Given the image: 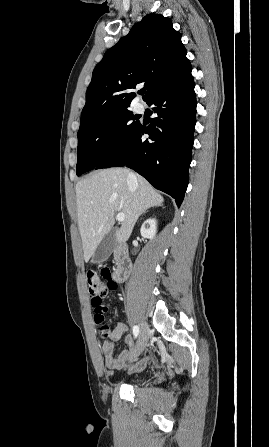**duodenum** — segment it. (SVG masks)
<instances>
[{
  "mask_svg": "<svg viewBox=\"0 0 269 447\" xmlns=\"http://www.w3.org/2000/svg\"><path fill=\"white\" fill-rule=\"evenodd\" d=\"M132 263L129 256L128 247L121 244L115 252V267L113 277L116 281L122 282L126 280L131 272Z\"/></svg>",
  "mask_w": 269,
  "mask_h": 447,
  "instance_id": "410a0bca",
  "label": "duodenum"
}]
</instances>
